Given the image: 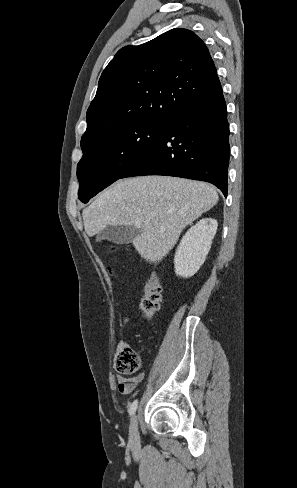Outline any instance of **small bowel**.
<instances>
[{
	"label": "small bowel",
	"instance_id": "obj_1",
	"mask_svg": "<svg viewBox=\"0 0 297 488\" xmlns=\"http://www.w3.org/2000/svg\"><path fill=\"white\" fill-rule=\"evenodd\" d=\"M144 379V374L139 373L134 377L128 378L121 374L115 375L117 388L121 394L128 395L135 391L138 384Z\"/></svg>",
	"mask_w": 297,
	"mask_h": 488
}]
</instances>
